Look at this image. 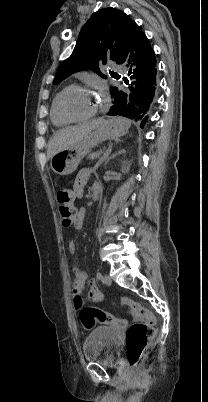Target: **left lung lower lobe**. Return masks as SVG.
<instances>
[{
  "mask_svg": "<svg viewBox=\"0 0 208 402\" xmlns=\"http://www.w3.org/2000/svg\"><path fill=\"white\" fill-rule=\"evenodd\" d=\"M118 64H122L129 72L130 82L125 90L112 89L113 106L107 115H120L135 121L142 120L144 126L147 117L143 118L153 101L156 85V59L148 38L134 22L131 26L125 45L120 52Z\"/></svg>",
  "mask_w": 208,
  "mask_h": 402,
  "instance_id": "0a47b994",
  "label": "left lung lower lobe"
}]
</instances>
